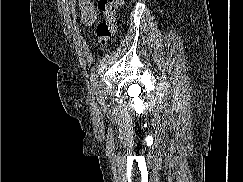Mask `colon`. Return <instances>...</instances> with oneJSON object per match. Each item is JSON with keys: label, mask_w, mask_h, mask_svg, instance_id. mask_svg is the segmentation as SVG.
Here are the masks:
<instances>
[{"label": "colon", "mask_w": 243, "mask_h": 182, "mask_svg": "<svg viewBox=\"0 0 243 182\" xmlns=\"http://www.w3.org/2000/svg\"><path fill=\"white\" fill-rule=\"evenodd\" d=\"M125 0H98V9L104 19L97 25L96 39L100 46L107 45L115 34V13Z\"/></svg>", "instance_id": "1"}]
</instances>
